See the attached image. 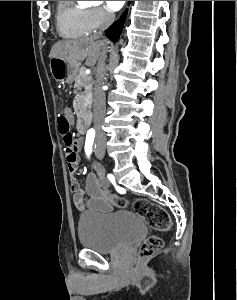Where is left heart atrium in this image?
<instances>
[{
	"instance_id": "obj_1",
	"label": "left heart atrium",
	"mask_w": 237,
	"mask_h": 300,
	"mask_svg": "<svg viewBox=\"0 0 237 300\" xmlns=\"http://www.w3.org/2000/svg\"><path fill=\"white\" fill-rule=\"evenodd\" d=\"M124 4L125 1H105L106 8L111 12L120 10Z\"/></svg>"
}]
</instances>
